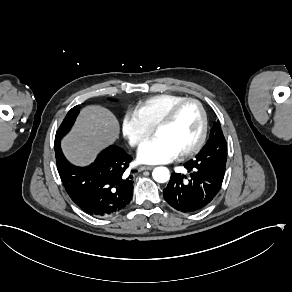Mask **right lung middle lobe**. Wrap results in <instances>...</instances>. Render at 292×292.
I'll use <instances>...</instances> for the list:
<instances>
[{
    "mask_svg": "<svg viewBox=\"0 0 292 292\" xmlns=\"http://www.w3.org/2000/svg\"><path fill=\"white\" fill-rule=\"evenodd\" d=\"M79 109L80 107L77 105L67 113L56 133L55 142L60 141L69 132L75 122L77 115L79 114Z\"/></svg>",
    "mask_w": 292,
    "mask_h": 292,
    "instance_id": "dd1d6c3e",
    "label": "right lung middle lobe"
}]
</instances>
